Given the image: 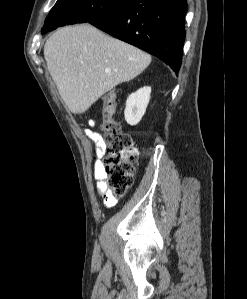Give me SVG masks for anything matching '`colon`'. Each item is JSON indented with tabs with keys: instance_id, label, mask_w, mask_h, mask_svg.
<instances>
[{
	"instance_id": "obj_1",
	"label": "colon",
	"mask_w": 247,
	"mask_h": 299,
	"mask_svg": "<svg viewBox=\"0 0 247 299\" xmlns=\"http://www.w3.org/2000/svg\"><path fill=\"white\" fill-rule=\"evenodd\" d=\"M116 94L103 98V118L100 125L104 143L103 177L108 190L122 197L132 186L137 168L138 150L132 137L125 133L115 119Z\"/></svg>"
}]
</instances>
